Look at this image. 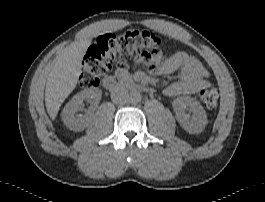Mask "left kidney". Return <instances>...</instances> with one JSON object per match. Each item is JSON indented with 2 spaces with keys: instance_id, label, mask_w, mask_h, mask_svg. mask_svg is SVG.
<instances>
[{
  "instance_id": "5707ae66",
  "label": "left kidney",
  "mask_w": 265,
  "mask_h": 202,
  "mask_svg": "<svg viewBox=\"0 0 265 202\" xmlns=\"http://www.w3.org/2000/svg\"><path fill=\"white\" fill-rule=\"evenodd\" d=\"M172 107L178 123L190 134L201 133L207 123V114L202 105L188 96L178 97L173 100ZM188 109L190 114H186Z\"/></svg>"
}]
</instances>
